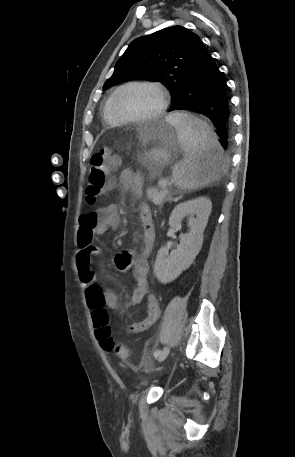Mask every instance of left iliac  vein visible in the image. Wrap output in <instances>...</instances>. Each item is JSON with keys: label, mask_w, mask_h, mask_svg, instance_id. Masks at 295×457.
Segmentation results:
<instances>
[{"label": "left iliac vein", "mask_w": 295, "mask_h": 457, "mask_svg": "<svg viewBox=\"0 0 295 457\" xmlns=\"http://www.w3.org/2000/svg\"><path fill=\"white\" fill-rule=\"evenodd\" d=\"M169 352H170L169 347H165V348L161 351V353L159 354V356L157 357V360H158L159 362H162L163 360L166 359V357L168 356Z\"/></svg>", "instance_id": "4c4485c4"}]
</instances>
